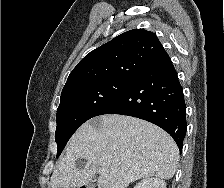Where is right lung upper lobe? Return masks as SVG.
Here are the masks:
<instances>
[{
	"label": "right lung upper lobe",
	"instance_id": "1",
	"mask_svg": "<svg viewBox=\"0 0 224 188\" xmlns=\"http://www.w3.org/2000/svg\"><path fill=\"white\" fill-rule=\"evenodd\" d=\"M168 58L153 32L130 30L87 54L70 73L63 89L105 79H133Z\"/></svg>",
	"mask_w": 224,
	"mask_h": 188
}]
</instances>
